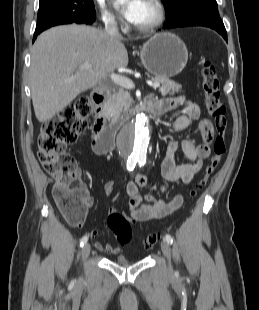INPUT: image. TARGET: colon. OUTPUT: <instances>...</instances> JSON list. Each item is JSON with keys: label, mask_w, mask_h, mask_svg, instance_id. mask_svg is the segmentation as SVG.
I'll return each instance as SVG.
<instances>
[{"label": "colon", "mask_w": 259, "mask_h": 310, "mask_svg": "<svg viewBox=\"0 0 259 310\" xmlns=\"http://www.w3.org/2000/svg\"><path fill=\"white\" fill-rule=\"evenodd\" d=\"M202 90L204 105L213 119L216 132L213 142L214 154L203 170L201 178L191 189L190 197L196 196L206 185L226 151V108L220 99V81L216 67L209 60L204 62L202 68ZM92 107L93 100L89 96L77 98L58 115L43 123L38 138L39 161L55 180L52 191L54 201L64 219L73 225L84 220L91 194L80 179L75 158L66 152V147L87 129ZM108 227L119 243L126 244L131 240L130 221L121 213H109ZM160 237V233L148 234L144 239L145 248H152Z\"/></svg>", "instance_id": "1"}]
</instances>
